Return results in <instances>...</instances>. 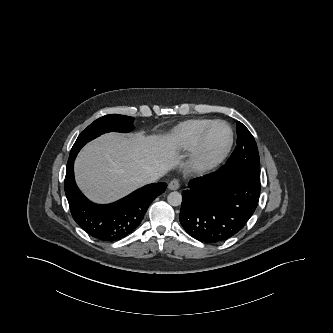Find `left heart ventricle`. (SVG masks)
<instances>
[{
  "mask_svg": "<svg viewBox=\"0 0 333 333\" xmlns=\"http://www.w3.org/2000/svg\"><path fill=\"white\" fill-rule=\"evenodd\" d=\"M227 137V128L221 124L216 125L212 130L207 152L209 154L217 153L224 146Z\"/></svg>",
  "mask_w": 333,
  "mask_h": 333,
  "instance_id": "left-heart-ventricle-1",
  "label": "left heart ventricle"
}]
</instances>
